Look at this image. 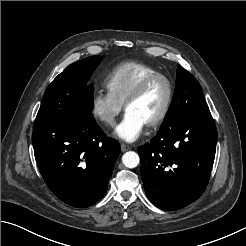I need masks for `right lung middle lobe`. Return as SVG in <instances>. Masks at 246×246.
<instances>
[{
  "mask_svg": "<svg viewBox=\"0 0 246 246\" xmlns=\"http://www.w3.org/2000/svg\"><path fill=\"white\" fill-rule=\"evenodd\" d=\"M91 56L73 63L48 86L36 121H89L92 118L94 86L87 81L100 63Z\"/></svg>",
  "mask_w": 246,
  "mask_h": 246,
  "instance_id": "dd1d6c3e",
  "label": "right lung middle lobe"
}]
</instances>
